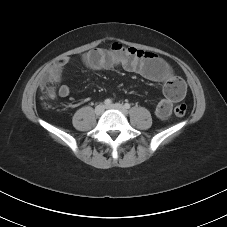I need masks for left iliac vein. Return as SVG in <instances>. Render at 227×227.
I'll list each match as a JSON object with an SVG mask.
<instances>
[{
    "instance_id": "4c4485c4",
    "label": "left iliac vein",
    "mask_w": 227,
    "mask_h": 227,
    "mask_svg": "<svg viewBox=\"0 0 227 227\" xmlns=\"http://www.w3.org/2000/svg\"><path fill=\"white\" fill-rule=\"evenodd\" d=\"M107 108L108 109L118 110V111H120L124 115L127 114L126 108L123 105L119 104V103L111 104V105L107 106Z\"/></svg>"
}]
</instances>
